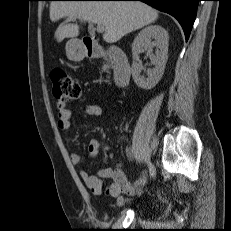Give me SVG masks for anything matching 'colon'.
I'll return each instance as SVG.
<instances>
[{"mask_svg":"<svg viewBox=\"0 0 231 231\" xmlns=\"http://www.w3.org/2000/svg\"><path fill=\"white\" fill-rule=\"evenodd\" d=\"M50 77L53 83V94L60 103H70L81 98L80 85L64 69H53Z\"/></svg>","mask_w":231,"mask_h":231,"instance_id":"colon-1","label":"colon"}]
</instances>
